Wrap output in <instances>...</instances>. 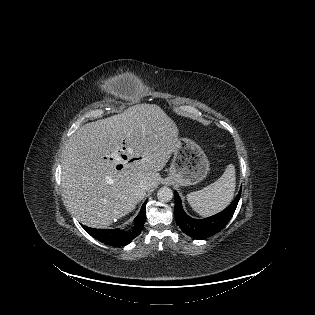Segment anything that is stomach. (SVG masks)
<instances>
[{
  "label": "stomach",
  "instance_id": "stomach-1",
  "mask_svg": "<svg viewBox=\"0 0 315 315\" xmlns=\"http://www.w3.org/2000/svg\"><path fill=\"white\" fill-rule=\"evenodd\" d=\"M178 141L169 169L170 179L181 186L197 184L209 171L207 156L193 140L180 137Z\"/></svg>",
  "mask_w": 315,
  "mask_h": 315
}]
</instances>
